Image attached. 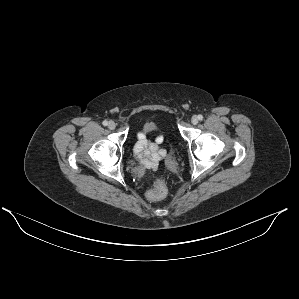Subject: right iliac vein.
<instances>
[{
    "label": "right iliac vein",
    "mask_w": 299,
    "mask_h": 299,
    "mask_svg": "<svg viewBox=\"0 0 299 299\" xmlns=\"http://www.w3.org/2000/svg\"><path fill=\"white\" fill-rule=\"evenodd\" d=\"M115 127H116V124H115L114 121H109L108 122V128L109 129L113 130V129H115Z\"/></svg>",
    "instance_id": "obj_1"
}]
</instances>
